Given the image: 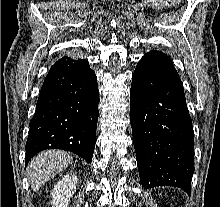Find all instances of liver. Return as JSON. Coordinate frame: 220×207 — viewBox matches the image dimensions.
<instances>
[{
  "mask_svg": "<svg viewBox=\"0 0 220 207\" xmlns=\"http://www.w3.org/2000/svg\"><path fill=\"white\" fill-rule=\"evenodd\" d=\"M72 162V156L61 150H46L34 156L27 167V177L32 190L38 191Z\"/></svg>",
  "mask_w": 220,
  "mask_h": 207,
  "instance_id": "obj_1",
  "label": "liver"
}]
</instances>
